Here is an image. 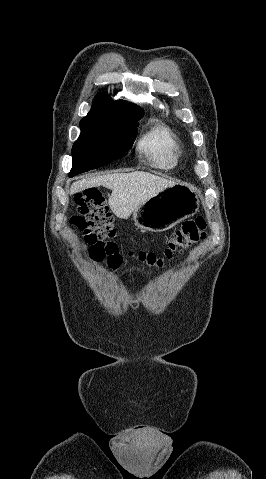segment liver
<instances>
[{"instance_id": "1", "label": "liver", "mask_w": 266, "mask_h": 479, "mask_svg": "<svg viewBox=\"0 0 266 479\" xmlns=\"http://www.w3.org/2000/svg\"><path fill=\"white\" fill-rule=\"evenodd\" d=\"M177 184L144 171L114 173L82 179L74 182L70 194H76L99 186L112 190L108 203L119 218L127 219L134 210L163 190Z\"/></svg>"}]
</instances>
